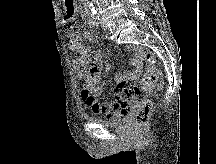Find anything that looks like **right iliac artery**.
I'll return each instance as SVG.
<instances>
[{
	"mask_svg": "<svg viewBox=\"0 0 216 164\" xmlns=\"http://www.w3.org/2000/svg\"><path fill=\"white\" fill-rule=\"evenodd\" d=\"M90 21H91L90 23H91L93 26H96V27L99 26V23H100V19H99V18H93V19H91Z\"/></svg>",
	"mask_w": 216,
	"mask_h": 164,
	"instance_id": "obj_1",
	"label": "right iliac artery"
}]
</instances>
